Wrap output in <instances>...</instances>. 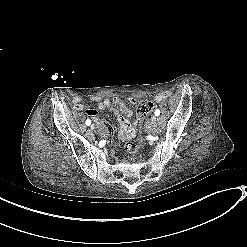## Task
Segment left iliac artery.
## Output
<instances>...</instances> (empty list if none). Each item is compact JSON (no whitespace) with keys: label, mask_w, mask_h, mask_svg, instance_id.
Listing matches in <instances>:
<instances>
[{"label":"left iliac artery","mask_w":247,"mask_h":247,"mask_svg":"<svg viewBox=\"0 0 247 247\" xmlns=\"http://www.w3.org/2000/svg\"><path fill=\"white\" fill-rule=\"evenodd\" d=\"M154 113H155L156 116H159L160 115V110L156 109Z\"/></svg>","instance_id":"44dca946"}]
</instances>
